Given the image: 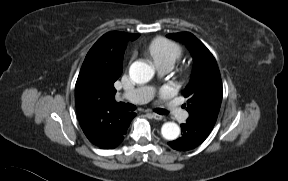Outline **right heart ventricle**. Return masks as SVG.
I'll return each instance as SVG.
<instances>
[{
	"mask_svg": "<svg viewBox=\"0 0 288 181\" xmlns=\"http://www.w3.org/2000/svg\"><path fill=\"white\" fill-rule=\"evenodd\" d=\"M148 54L153 59L155 65L169 63L172 66L182 56V48L173 41L159 37L154 39L147 48Z\"/></svg>",
	"mask_w": 288,
	"mask_h": 181,
	"instance_id": "obj_1",
	"label": "right heart ventricle"
}]
</instances>
